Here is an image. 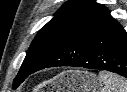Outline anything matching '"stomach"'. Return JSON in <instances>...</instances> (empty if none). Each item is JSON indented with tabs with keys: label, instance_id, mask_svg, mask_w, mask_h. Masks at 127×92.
Wrapping results in <instances>:
<instances>
[{
	"label": "stomach",
	"instance_id": "obj_1",
	"mask_svg": "<svg viewBox=\"0 0 127 92\" xmlns=\"http://www.w3.org/2000/svg\"><path fill=\"white\" fill-rule=\"evenodd\" d=\"M101 85L95 74L79 69L63 71L51 81L52 92H98Z\"/></svg>",
	"mask_w": 127,
	"mask_h": 92
}]
</instances>
